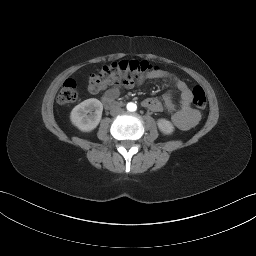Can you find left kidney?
I'll list each match as a JSON object with an SVG mask.
<instances>
[{
    "label": "left kidney",
    "mask_w": 256,
    "mask_h": 256,
    "mask_svg": "<svg viewBox=\"0 0 256 256\" xmlns=\"http://www.w3.org/2000/svg\"><path fill=\"white\" fill-rule=\"evenodd\" d=\"M157 125L159 130L166 135L172 134L174 132L173 124L166 119H158Z\"/></svg>",
    "instance_id": "1"
}]
</instances>
